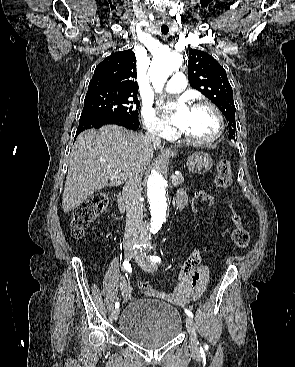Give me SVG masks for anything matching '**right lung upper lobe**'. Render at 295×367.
Listing matches in <instances>:
<instances>
[{"label": "right lung upper lobe", "mask_w": 295, "mask_h": 367, "mask_svg": "<svg viewBox=\"0 0 295 367\" xmlns=\"http://www.w3.org/2000/svg\"><path fill=\"white\" fill-rule=\"evenodd\" d=\"M136 58L132 50L113 53L94 71L88 90H104L119 94L137 95Z\"/></svg>", "instance_id": "right-lung-upper-lobe-1"}]
</instances>
